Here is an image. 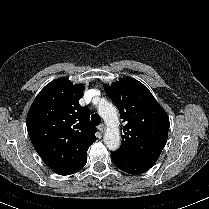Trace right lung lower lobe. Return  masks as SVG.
Listing matches in <instances>:
<instances>
[{
  "mask_svg": "<svg viewBox=\"0 0 209 209\" xmlns=\"http://www.w3.org/2000/svg\"><path fill=\"white\" fill-rule=\"evenodd\" d=\"M85 164H86V162L83 163V164H82L75 172L79 171ZM75 172H74V173H75Z\"/></svg>",
  "mask_w": 209,
  "mask_h": 209,
  "instance_id": "1",
  "label": "right lung lower lobe"
}]
</instances>
